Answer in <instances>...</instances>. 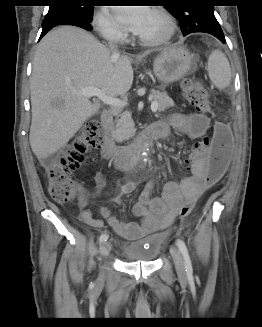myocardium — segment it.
Returning a JSON list of instances; mask_svg holds the SVG:
<instances>
[{
  "instance_id": "f54148a6",
  "label": "myocardium",
  "mask_w": 262,
  "mask_h": 327,
  "mask_svg": "<svg viewBox=\"0 0 262 327\" xmlns=\"http://www.w3.org/2000/svg\"><path fill=\"white\" fill-rule=\"evenodd\" d=\"M154 12L164 23L165 32L159 37H144L136 35L137 40L146 46H159L169 42L176 32V24L173 17L162 7H153Z\"/></svg>"
}]
</instances>
